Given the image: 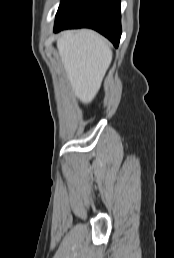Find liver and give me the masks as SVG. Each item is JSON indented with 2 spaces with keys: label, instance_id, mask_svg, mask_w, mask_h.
I'll return each instance as SVG.
<instances>
[{
  "label": "liver",
  "instance_id": "6515ba94",
  "mask_svg": "<svg viewBox=\"0 0 174 258\" xmlns=\"http://www.w3.org/2000/svg\"><path fill=\"white\" fill-rule=\"evenodd\" d=\"M57 48L75 95L84 104L97 95L112 61L106 40L95 31H64L57 39Z\"/></svg>",
  "mask_w": 174,
  "mask_h": 258
}]
</instances>
